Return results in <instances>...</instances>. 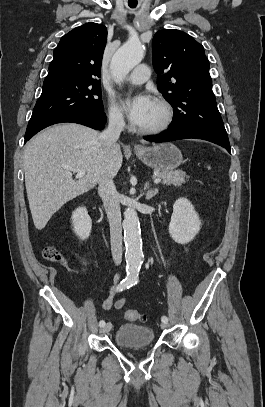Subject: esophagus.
<instances>
[{"label":"esophagus","mask_w":265,"mask_h":407,"mask_svg":"<svg viewBox=\"0 0 265 407\" xmlns=\"http://www.w3.org/2000/svg\"><path fill=\"white\" fill-rule=\"evenodd\" d=\"M134 148H135L136 150L141 149V145L136 144Z\"/></svg>","instance_id":"esophagus-1"}]
</instances>
